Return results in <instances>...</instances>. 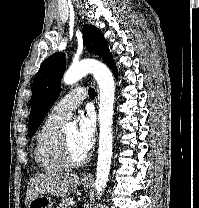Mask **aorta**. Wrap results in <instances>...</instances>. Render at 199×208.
Segmentation results:
<instances>
[{"instance_id":"aorta-1","label":"aorta","mask_w":199,"mask_h":208,"mask_svg":"<svg viewBox=\"0 0 199 208\" xmlns=\"http://www.w3.org/2000/svg\"><path fill=\"white\" fill-rule=\"evenodd\" d=\"M88 73H92L100 89L99 103V149L96 168L95 189L99 196L106 188L111 167L113 136L112 119L115 98L114 78L109 68L97 60H83L72 64L65 72L63 82L67 85L76 83ZM72 125L67 124L65 129ZM98 196V198H100Z\"/></svg>"}]
</instances>
